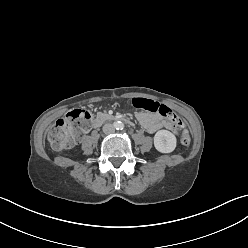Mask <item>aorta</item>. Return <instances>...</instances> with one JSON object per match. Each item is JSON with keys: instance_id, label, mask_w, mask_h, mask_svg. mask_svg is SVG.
I'll list each match as a JSON object with an SVG mask.
<instances>
[{"instance_id": "obj_1", "label": "aorta", "mask_w": 248, "mask_h": 248, "mask_svg": "<svg viewBox=\"0 0 248 248\" xmlns=\"http://www.w3.org/2000/svg\"><path fill=\"white\" fill-rule=\"evenodd\" d=\"M114 127L117 130H122L124 128V124L121 121H117V122L114 123Z\"/></svg>"}]
</instances>
